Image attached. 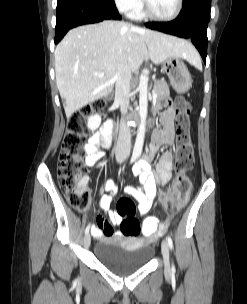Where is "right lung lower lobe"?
Returning <instances> with one entry per match:
<instances>
[{"mask_svg":"<svg viewBox=\"0 0 247 304\" xmlns=\"http://www.w3.org/2000/svg\"><path fill=\"white\" fill-rule=\"evenodd\" d=\"M55 44L76 26L120 19L114 0H57Z\"/></svg>","mask_w":247,"mask_h":304,"instance_id":"right-lung-lower-lobe-1","label":"right lung lower lobe"}]
</instances>
